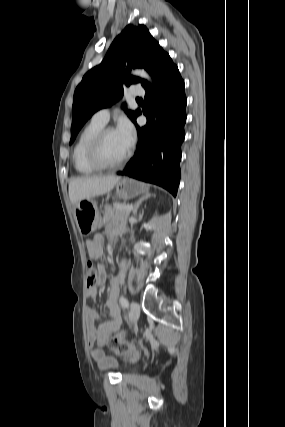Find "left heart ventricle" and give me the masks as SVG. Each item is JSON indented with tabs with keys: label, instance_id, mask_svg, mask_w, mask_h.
Returning <instances> with one entry per match:
<instances>
[{
	"label": "left heart ventricle",
	"instance_id": "obj_1",
	"mask_svg": "<svg viewBox=\"0 0 285 427\" xmlns=\"http://www.w3.org/2000/svg\"><path fill=\"white\" fill-rule=\"evenodd\" d=\"M128 150L116 130H114L105 137L102 146V158L108 163L115 162L122 158Z\"/></svg>",
	"mask_w": 285,
	"mask_h": 427
}]
</instances>
